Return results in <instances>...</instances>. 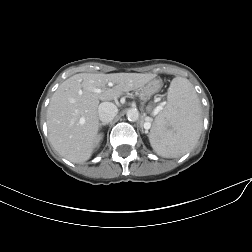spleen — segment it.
I'll return each mask as SVG.
<instances>
[{"label":"spleen","instance_id":"spleen-1","mask_svg":"<svg viewBox=\"0 0 252 252\" xmlns=\"http://www.w3.org/2000/svg\"><path fill=\"white\" fill-rule=\"evenodd\" d=\"M202 126L201 104L193 85L186 78H174L167 104L149 133L152 148L166 158L184 155L199 140Z\"/></svg>","mask_w":252,"mask_h":252}]
</instances>
